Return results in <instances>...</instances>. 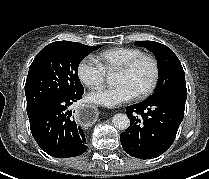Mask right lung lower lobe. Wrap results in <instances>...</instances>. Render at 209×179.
<instances>
[{
	"mask_svg": "<svg viewBox=\"0 0 209 179\" xmlns=\"http://www.w3.org/2000/svg\"><path fill=\"white\" fill-rule=\"evenodd\" d=\"M83 93L55 99L28 116L31 133L47 154L67 158L79 156L87 150L84 132L71 118L72 111L69 110Z\"/></svg>",
	"mask_w": 209,
	"mask_h": 179,
	"instance_id": "98d812e1",
	"label": "right lung lower lobe"
}]
</instances>
